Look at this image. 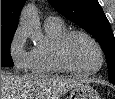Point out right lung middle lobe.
<instances>
[{
	"mask_svg": "<svg viewBox=\"0 0 115 99\" xmlns=\"http://www.w3.org/2000/svg\"><path fill=\"white\" fill-rule=\"evenodd\" d=\"M14 33L1 31V67H11L14 65L10 54V45Z\"/></svg>",
	"mask_w": 115,
	"mask_h": 99,
	"instance_id": "1",
	"label": "right lung middle lobe"
}]
</instances>
